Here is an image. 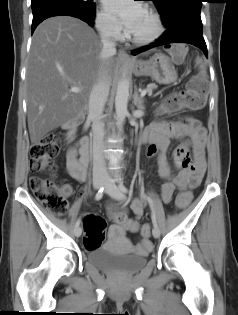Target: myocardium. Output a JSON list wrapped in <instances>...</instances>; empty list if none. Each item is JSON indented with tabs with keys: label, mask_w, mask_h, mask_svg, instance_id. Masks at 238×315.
I'll return each instance as SVG.
<instances>
[{
	"label": "myocardium",
	"mask_w": 238,
	"mask_h": 315,
	"mask_svg": "<svg viewBox=\"0 0 238 315\" xmlns=\"http://www.w3.org/2000/svg\"><path fill=\"white\" fill-rule=\"evenodd\" d=\"M145 11L151 16L154 22V31L146 37H135L128 32L127 39L136 45H148L157 40L163 33V24L159 14L153 9L147 8Z\"/></svg>",
	"instance_id": "myocardium-1"
}]
</instances>
